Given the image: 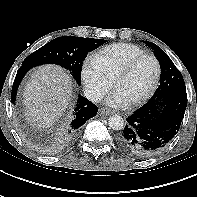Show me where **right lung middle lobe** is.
I'll use <instances>...</instances> for the list:
<instances>
[{
	"instance_id": "dd1d6c3e",
	"label": "right lung middle lobe",
	"mask_w": 197,
	"mask_h": 197,
	"mask_svg": "<svg viewBox=\"0 0 197 197\" xmlns=\"http://www.w3.org/2000/svg\"><path fill=\"white\" fill-rule=\"evenodd\" d=\"M105 42L106 40L94 38L58 37L30 54L22 66L57 64L69 70L77 84L80 85L81 69L85 57Z\"/></svg>"
}]
</instances>
